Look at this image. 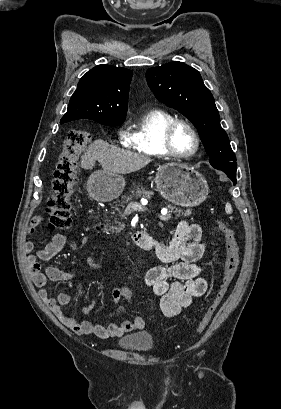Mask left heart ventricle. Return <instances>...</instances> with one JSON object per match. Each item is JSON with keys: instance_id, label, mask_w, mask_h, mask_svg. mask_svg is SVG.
<instances>
[{"instance_id": "1", "label": "left heart ventricle", "mask_w": 281, "mask_h": 409, "mask_svg": "<svg viewBox=\"0 0 281 409\" xmlns=\"http://www.w3.org/2000/svg\"><path fill=\"white\" fill-rule=\"evenodd\" d=\"M174 144L178 152L188 154L194 149V140L191 133L184 127H180L174 138Z\"/></svg>"}]
</instances>
